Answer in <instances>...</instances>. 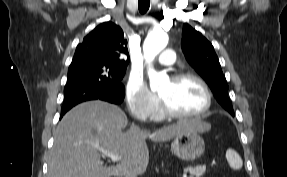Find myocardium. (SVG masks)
<instances>
[{"label":"myocardium","mask_w":287,"mask_h":177,"mask_svg":"<svg viewBox=\"0 0 287 177\" xmlns=\"http://www.w3.org/2000/svg\"><path fill=\"white\" fill-rule=\"evenodd\" d=\"M171 80L173 82H182L185 80H192L196 82L202 88L205 94L206 101H205L203 108L199 112L192 113V114H184V113H178V112L173 111L167 105V103L159 96L161 109H162L163 114L166 117L173 118V119H196V118L202 117L210 110L212 103H213L212 92L209 86L207 85V83L201 77L193 73L183 72V73H178Z\"/></svg>","instance_id":"obj_1"}]
</instances>
